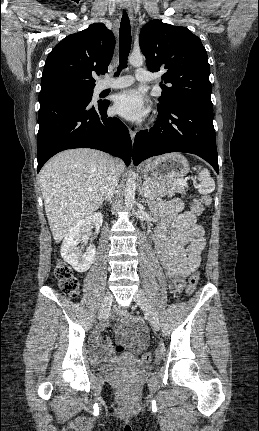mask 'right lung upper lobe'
<instances>
[{"label":"right lung upper lobe","instance_id":"cb5924a9","mask_svg":"<svg viewBox=\"0 0 259 431\" xmlns=\"http://www.w3.org/2000/svg\"><path fill=\"white\" fill-rule=\"evenodd\" d=\"M114 47L115 37L102 23L91 24L87 29L65 37L46 59L41 90L57 82L93 89L92 74L107 71Z\"/></svg>","mask_w":259,"mask_h":431}]
</instances>
